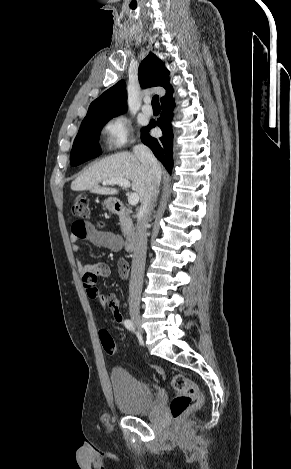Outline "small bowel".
<instances>
[{"label": "small bowel", "mask_w": 291, "mask_h": 469, "mask_svg": "<svg viewBox=\"0 0 291 469\" xmlns=\"http://www.w3.org/2000/svg\"><path fill=\"white\" fill-rule=\"evenodd\" d=\"M72 251L78 255L81 247L78 244L80 240H87L93 245L106 248L117 252L123 246V240L120 235L110 231L103 224H94L87 221H75L72 224L71 236ZM77 268L81 276L83 286L89 298L98 296L105 301L104 307H109L113 319L117 324L123 325L125 320L120 310V303L117 296L113 293L104 295L99 292L97 282L101 278H107L110 275V267L106 263H97L86 266L77 258Z\"/></svg>", "instance_id": "1"}]
</instances>
